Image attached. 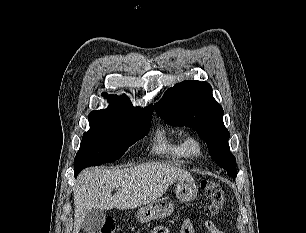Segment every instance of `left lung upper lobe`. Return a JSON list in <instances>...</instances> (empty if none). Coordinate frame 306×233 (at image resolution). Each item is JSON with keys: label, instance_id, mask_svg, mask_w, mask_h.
I'll use <instances>...</instances> for the list:
<instances>
[{"label": "left lung upper lobe", "instance_id": "left-lung-upper-lobe-1", "mask_svg": "<svg viewBox=\"0 0 306 233\" xmlns=\"http://www.w3.org/2000/svg\"><path fill=\"white\" fill-rule=\"evenodd\" d=\"M157 114L174 126H188L206 142L211 157L229 176L236 177V159L230 153V134L223 123V109L206 82L183 81L169 88L154 105Z\"/></svg>", "mask_w": 306, "mask_h": 233}]
</instances>
